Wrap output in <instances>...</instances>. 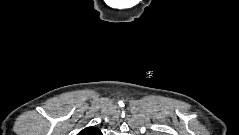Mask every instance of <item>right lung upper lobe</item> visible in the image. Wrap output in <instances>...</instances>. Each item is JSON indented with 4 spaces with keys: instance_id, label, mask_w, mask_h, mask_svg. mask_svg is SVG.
<instances>
[{
    "instance_id": "obj_1",
    "label": "right lung upper lobe",
    "mask_w": 239,
    "mask_h": 135,
    "mask_svg": "<svg viewBox=\"0 0 239 135\" xmlns=\"http://www.w3.org/2000/svg\"><path fill=\"white\" fill-rule=\"evenodd\" d=\"M101 132L95 127H87L82 130L78 135H99Z\"/></svg>"
}]
</instances>
